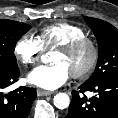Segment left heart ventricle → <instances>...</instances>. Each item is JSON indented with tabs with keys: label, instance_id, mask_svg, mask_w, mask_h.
Here are the masks:
<instances>
[{
	"label": "left heart ventricle",
	"instance_id": "b2bd125f",
	"mask_svg": "<svg viewBox=\"0 0 118 118\" xmlns=\"http://www.w3.org/2000/svg\"><path fill=\"white\" fill-rule=\"evenodd\" d=\"M90 59V50L88 48H83L73 54H65L61 51H56L51 61L53 63H62L66 66L69 72L82 70Z\"/></svg>",
	"mask_w": 118,
	"mask_h": 118
}]
</instances>
